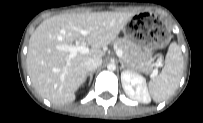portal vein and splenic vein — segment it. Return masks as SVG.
<instances>
[{
	"mask_svg": "<svg viewBox=\"0 0 203 123\" xmlns=\"http://www.w3.org/2000/svg\"><path fill=\"white\" fill-rule=\"evenodd\" d=\"M88 31L81 30L82 35H87ZM58 50L69 52V59L74 58L78 53L86 54L89 52V48L86 45H58ZM116 55L121 58L123 56V52L120 49H116ZM158 66V65H157ZM158 74V70L155 69L151 74V77H155Z\"/></svg>",
	"mask_w": 203,
	"mask_h": 123,
	"instance_id": "1",
	"label": "portal vein and splenic vein"
}]
</instances>
